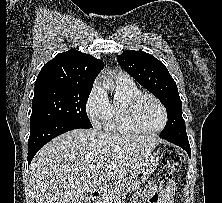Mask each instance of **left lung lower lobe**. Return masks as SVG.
<instances>
[{
	"mask_svg": "<svg viewBox=\"0 0 222 203\" xmlns=\"http://www.w3.org/2000/svg\"><path fill=\"white\" fill-rule=\"evenodd\" d=\"M160 137L171 142V143H174V144L180 146L188 153V155L190 157L191 150H190L188 137H172V136H162V135H160Z\"/></svg>",
	"mask_w": 222,
	"mask_h": 203,
	"instance_id": "1",
	"label": "left lung lower lobe"
}]
</instances>
